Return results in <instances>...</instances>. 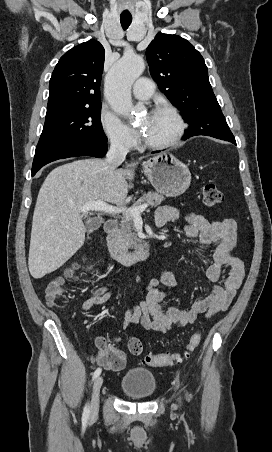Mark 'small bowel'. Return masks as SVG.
Wrapping results in <instances>:
<instances>
[{
  "label": "small bowel",
  "mask_w": 272,
  "mask_h": 452,
  "mask_svg": "<svg viewBox=\"0 0 272 452\" xmlns=\"http://www.w3.org/2000/svg\"><path fill=\"white\" fill-rule=\"evenodd\" d=\"M180 219L175 207L160 206L156 211L158 227ZM184 221L183 232L189 241L197 242L203 252L213 248L211 258L204 260L205 279L210 285V292L197 297L186 309L174 306L164 308L161 303L167 294L161 287H175L177 280L170 271L163 270L158 278L146 285L144 299L126 310L123 328L140 325L147 332L165 333L174 326L192 324L198 315L209 317L225 311L232 303L245 275L244 263L234 253L237 244L236 222L230 218L208 220L196 213L187 214ZM111 297L112 292L108 287H100L84 300L82 309L89 311L96 305L106 303ZM101 340L104 339L98 338L97 342ZM131 340L140 341L137 337H131Z\"/></svg>",
  "instance_id": "1"
}]
</instances>
